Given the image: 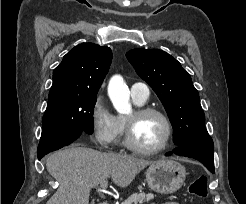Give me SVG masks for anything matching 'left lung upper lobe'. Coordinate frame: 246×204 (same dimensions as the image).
<instances>
[{
    "instance_id": "5c2ea615",
    "label": "left lung upper lobe",
    "mask_w": 246,
    "mask_h": 204,
    "mask_svg": "<svg viewBox=\"0 0 246 204\" xmlns=\"http://www.w3.org/2000/svg\"><path fill=\"white\" fill-rule=\"evenodd\" d=\"M126 57L164 105L177 146L208 134L198 91L190 74L175 58L158 49H133Z\"/></svg>"
}]
</instances>
